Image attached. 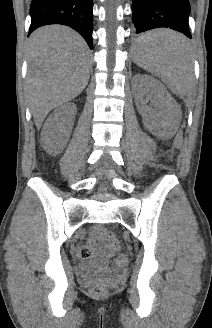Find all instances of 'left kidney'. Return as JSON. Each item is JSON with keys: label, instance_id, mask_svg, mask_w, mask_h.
Here are the masks:
<instances>
[{"label": "left kidney", "instance_id": "obj_1", "mask_svg": "<svg viewBox=\"0 0 212 328\" xmlns=\"http://www.w3.org/2000/svg\"><path fill=\"white\" fill-rule=\"evenodd\" d=\"M135 102L143 123L154 135L162 138H171L178 129L181 120V109L168 91L153 77L148 75L136 76ZM155 97L160 108L159 120L154 121V111L146 105L145 95Z\"/></svg>", "mask_w": 212, "mask_h": 328}]
</instances>
